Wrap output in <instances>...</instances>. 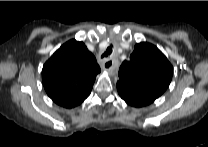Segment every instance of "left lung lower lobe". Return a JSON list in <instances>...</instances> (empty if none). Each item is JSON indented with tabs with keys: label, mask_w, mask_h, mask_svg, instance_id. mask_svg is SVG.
Segmentation results:
<instances>
[{
	"label": "left lung lower lobe",
	"mask_w": 208,
	"mask_h": 147,
	"mask_svg": "<svg viewBox=\"0 0 208 147\" xmlns=\"http://www.w3.org/2000/svg\"><path fill=\"white\" fill-rule=\"evenodd\" d=\"M120 97L129 105L134 107H142L152 103L155 98L134 90L127 89L122 86H117Z\"/></svg>",
	"instance_id": "left-lung-lower-lobe-1"
}]
</instances>
